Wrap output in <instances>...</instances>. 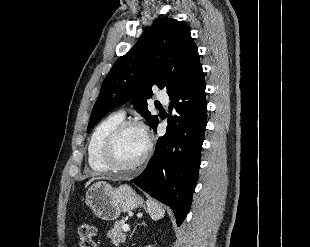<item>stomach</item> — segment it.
Instances as JSON below:
<instances>
[{
  "mask_svg": "<svg viewBox=\"0 0 310 247\" xmlns=\"http://www.w3.org/2000/svg\"><path fill=\"white\" fill-rule=\"evenodd\" d=\"M85 203L98 218L105 221L115 220L121 212L144 206L143 199L130 186L114 188L104 181L88 188Z\"/></svg>",
  "mask_w": 310,
  "mask_h": 247,
  "instance_id": "stomach-1",
  "label": "stomach"
}]
</instances>
